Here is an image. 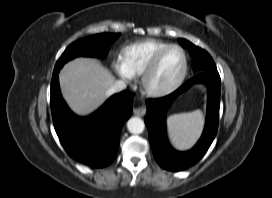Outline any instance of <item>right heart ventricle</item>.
Wrapping results in <instances>:
<instances>
[{
    "instance_id": "1",
    "label": "right heart ventricle",
    "mask_w": 272,
    "mask_h": 198,
    "mask_svg": "<svg viewBox=\"0 0 272 198\" xmlns=\"http://www.w3.org/2000/svg\"><path fill=\"white\" fill-rule=\"evenodd\" d=\"M170 44L159 40H145L127 46L121 55L123 66L133 75L143 74L156 54Z\"/></svg>"
}]
</instances>
